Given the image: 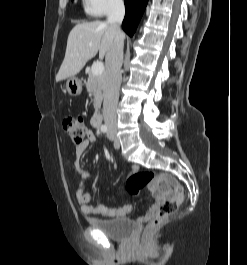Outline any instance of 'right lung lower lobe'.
Here are the masks:
<instances>
[{
  "label": "right lung lower lobe",
  "instance_id": "obj_1",
  "mask_svg": "<svg viewBox=\"0 0 247 265\" xmlns=\"http://www.w3.org/2000/svg\"><path fill=\"white\" fill-rule=\"evenodd\" d=\"M126 14L122 23L123 30L133 36L148 0H124Z\"/></svg>",
  "mask_w": 247,
  "mask_h": 265
}]
</instances>
